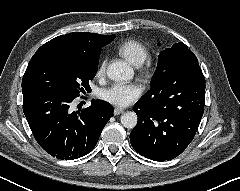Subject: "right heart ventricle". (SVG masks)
<instances>
[{"label":"right heart ventricle","instance_id":"e07e8e85","mask_svg":"<svg viewBox=\"0 0 240 191\" xmlns=\"http://www.w3.org/2000/svg\"><path fill=\"white\" fill-rule=\"evenodd\" d=\"M117 51L134 65H141L149 56L148 48L136 40L123 41L118 45Z\"/></svg>","mask_w":240,"mask_h":191}]
</instances>
